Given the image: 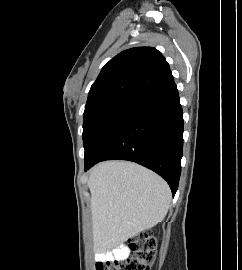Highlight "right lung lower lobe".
Listing matches in <instances>:
<instances>
[{
    "instance_id": "1",
    "label": "right lung lower lobe",
    "mask_w": 242,
    "mask_h": 270,
    "mask_svg": "<svg viewBox=\"0 0 242 270\" xmlns=\"http://www.w3.org/2000/svg\"><path fill=\"white\" fill-rule=\"evenodd\" d=\"M183 147V112L175 83L138 103L96 155L85 171L110 159L137 162L159 174L175 195Z\"/></svg>"
}]
</instances>
